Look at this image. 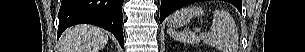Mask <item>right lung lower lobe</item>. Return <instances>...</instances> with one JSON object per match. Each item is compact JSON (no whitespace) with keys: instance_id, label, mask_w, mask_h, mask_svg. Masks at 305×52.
<instances>
[{"instance_id":"1","label":"right lung lower lobe","mask_w":305,"mask_h":52,"mask_svg":"<svg viewBox=\"0 0 305 52\" xmlns=\"http://www.w3.org/2000/svg\"><path fill=\"white\" fill-rule=\"evenodd\" d=\"M122 4L123 0H62L58 37L72 25L93 24L113 33L123 48Z\"/></svg>"}]
</instances>
